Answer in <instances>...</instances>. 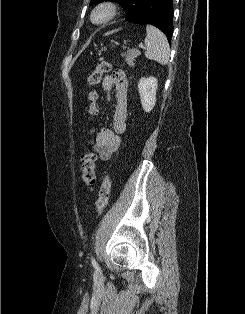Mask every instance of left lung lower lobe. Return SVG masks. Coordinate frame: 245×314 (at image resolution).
Returning <instances> with one entry per match:
<instances>
[{
	"label": "left lung lower lobe",
	"instance_id": "obj_1",
	"mask_svg": "<svg viewBox=\"0 0 245 314\" xmlns=\"http://www.w3.org/2000/svg\"><path fill=\"white\" fill-rule=\"evenodd\" d=\"M127 20L157 27L170 42L173 33V0H144L138 12Z\"/></svg>",
	"mask_w": 245,
	"mask_h": 314
}]
</instances>
